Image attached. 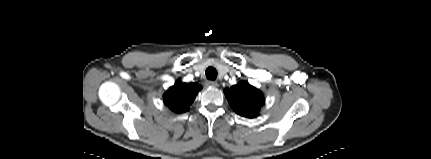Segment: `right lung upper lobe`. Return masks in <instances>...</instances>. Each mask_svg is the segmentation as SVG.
<instances>
[{
  "instance_id": "obj_1",
  "label": "right lung upper lobe",
  "mask_w": 431,
  "mask_h": 159,
  "mask_svg": "<svg viewBox=\"0 0 431 159\" xmlns=\"http://www.w3.org/2000/svg\"><path fill=\"white\" fill-rule=\"evenodd\" d=\"M201 86L198 83L176 82L163 96L164 103L174 112L182 113L188 111Z\"/></svg>"
}]
</instances>
